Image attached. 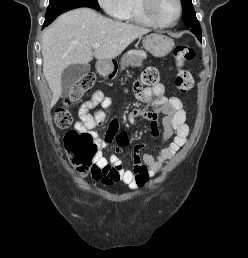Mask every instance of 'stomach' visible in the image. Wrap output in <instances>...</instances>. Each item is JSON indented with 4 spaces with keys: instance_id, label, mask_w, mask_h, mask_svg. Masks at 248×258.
Listing matches in <instances>:
<instances>
[{
    "instance_id": "0dacf381",
    "label": "stomach",
    "mask_w": 248,
    "mask_h": 258,
    "mask_svg": "<svg viewBox=\"0 0 248 258\" xmlns=\"http://www.w3.org/2000/svg\"><path fill=\"white\" fill-rule=\"evenodd\" d=\"M173 39L162 34H151L144 38L143 46L155 57H164L174 48ZM112 60L101 61L98 63V72L103 76H108L114 71Z\"/></svg>"
}]
</instances>
